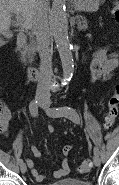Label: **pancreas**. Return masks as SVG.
Segmentation results:
<instances>
[{"instance_id": "1", "label": "pancreas", "mask_w": 119, "mask_h": 185, "mask_svg": "<svg viewBox=\"0 0 119 185\" xmlns=\"http://www.w3.org/2000/svg\"><path fill=\"white\" fill-rule=\"evenodd\" d=\"M77 21H78V29L79 30H85L88 28L87 20L83 16H77ZM27 49L29 51V54L31 56V61H32L35 56V51H36V45H35L34 41L30 42Z\"/></svg>"}]
</instances>
